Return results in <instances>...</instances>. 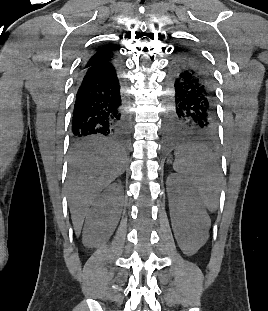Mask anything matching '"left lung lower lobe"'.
<instances>
[{
	"mask_svg": "<svg viewBox=\"0 0 268 311\" xmlns=\"http://www.w3.org/2000/svg\"><path fill=\"white\" fill-rule=\"evenodd\" d=\"M168 87L166 141H217L214 81L207 62L195 51L180 52L171 60Z\"/></svg>",
	"mask_w": 268,
	"mask_h": 311,
	"instance_id": "1",
	"label": "left lung lower lobe"
}]
</instances>
